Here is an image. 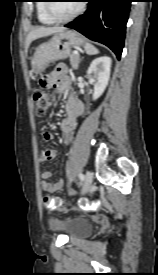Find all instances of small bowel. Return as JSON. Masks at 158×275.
<instances>
[{
    "label": "small bowel",
    "mask_w": 158,
    "mask_h": 275,
    "mask_svg": "<svg viewBox=\"0 0 158 275\" xmlns=\"http://www.w3.org/2000/svg\"><path fill=\"white\" fill-rule=\"evenodd\" d=\"M48 80L49 89H53L58 93H63L70 89V78L68 76V70L65 64H59L55 70L43 77ZM66 118L61 122V131H62V141L65 145H69L72 141L73 133L77 126V118L80 117L84 112L83 104L75 96L73 92L69 93L67 102H66ZM42 135L44 140L49 141L52 138L51 126L49 124H44L41 128ZM57 155L55 149H44L41 153V161H50L53 160ZM51 177V172L46 170L41 173V188L43 191L48 193H53L60 190L64 181L62 179L57 180L56 182H51L49 179Z\"/></svg>",
    "instance_id": "1"
}]
</instances>
